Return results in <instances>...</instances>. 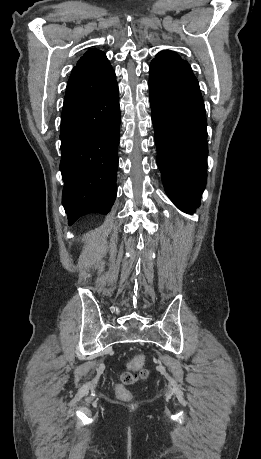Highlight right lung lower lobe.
Returning a JSON list of instances; mask_svg holds the SVG:
<instances>
[{
	"label": "right lung lower lobe",
	"mask_w": 261,
	"mask_h": 459,
	"mask_svg": "<svg viewBox=\"0 0 261 459\" xmlns=\"http://www.w3.org/2000/svg\"><path fill=\"white\" fill-rule=\"evenodd\" d=\"M120 108L118 85L61 116L62 204L72 225L107 214L116 198Z\"/></svg>",
	"instance_id": "obj_1"
}]
</instances>
